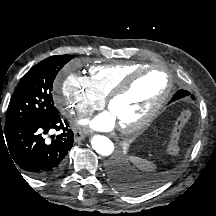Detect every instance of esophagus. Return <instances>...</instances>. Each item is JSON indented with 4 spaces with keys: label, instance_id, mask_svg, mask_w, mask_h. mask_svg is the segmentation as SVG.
Segmentation results:
<instances>
[{
    "label": "esophagus",
    "instance_id": "obj_1",
    "mask_svg": "<svg viewBox=\"0 0 216 216\" xmlns=\"http://www.w3.org/2000/svg\"><path fill=\"white\" fill-rule=\"evenodd\" d=\"M87 133L85 131L82 130H75L74 131V138L76 140H82L86 137Z\"/></svg>",
    "mask_w": 216,
    "mask_h": 216
}]
</instances>
